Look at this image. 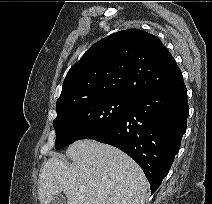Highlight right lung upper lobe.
Masks as SVG:
<instances>
[{
	"instance_id": "right-lung-upper-lobe-1",
	"label": "right lung upper lobe",
	"mask_w": 212,
	"mask_h": 204,
	"mask_svg": "<svg viewBox=\"0 0 212 204\" xmlns=\"http://www.w3.org/2000/svg\"><path fill=\"white\" fill-rule=\"evenodd\" d=\"M181 78L156 36L139 29L119 31L92 45L68 71L56 109L105 96L132 99Z\"/></svg>"
}]
</instances>
